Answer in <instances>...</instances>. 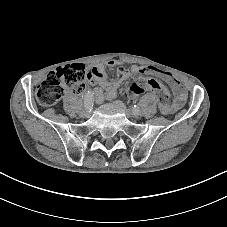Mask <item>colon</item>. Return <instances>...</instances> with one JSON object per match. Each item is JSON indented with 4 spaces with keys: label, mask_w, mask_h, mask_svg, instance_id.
Listing matches in <instances>:
<instances>
[{
    "label": "colon",
    "mask_w": 227,
    "mask_h": 227,
    "mask_svg": "<svg viewBox=\"0 0 227 227\" xmlns=\"http://www.w3.org/2000/svg\"><path fill=\"white\" fill-rule=\"evenodd\" d=\"M87 77L82 64L65 65L52 71L37 87L36 99L42 106H53L67 90L81 91ZM145 91H152L158 98L159 105L169 104V91L154 79L141 77L133 83L129 94L134 96Z\"/></svg>",
    "instance_id": "obj_1"
}]
</instances>
